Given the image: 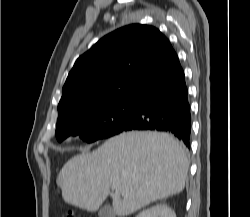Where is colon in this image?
<instances>
[{
	"instance_id": "5ec220e1",
	"label": "colon",
	"mask_w": 250,
	"mask_h": 217,
	"mask_svg": "<svg viewBox=\"0 0 250 217\" xmlns=\"http://www.w3.org/2000/svg\"><path fill=\"white\" fill-rule=\"evenodd\" d=\"M65 217H75V215L73 213H68L65 215Z\"/></svg>"
}]
</instances>
